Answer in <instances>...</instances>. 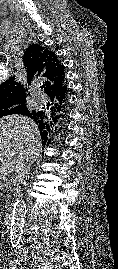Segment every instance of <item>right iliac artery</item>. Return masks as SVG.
Returning a JSON list of instances; mask_svg holds the SVG:
<instances>
[{
  "mask_svg": "<svg viewBox=\"0 0 118 269\" xmlns=\"http://www.w3.org/2000/svg\"><path fill=\"white\" fill-rule=\"evenodd\" d=\"M10 265L12 269H18L20 266V261L18 259H13L10 261Z\"/></svg>",
  "mask_w": 118,
  "mask_h": 269,
  "instance_id": "obj_1",
  "label": "right iliac artery"
}]
</instances>
